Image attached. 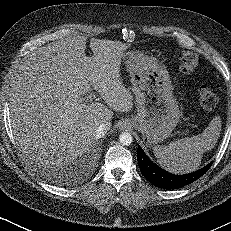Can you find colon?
<instances>
[{
	"label": "colon",
	"mask_w": 231,
	"mask_h": 231,
	"mask_svg": "<svg viewBox=\"0 0 231 231\" xmlns=\"http://www.w3.org/2000/svg\"><path fill=\"white\" fill-rule=\"evenodd\" d=\"M200 64V57L194 52H181L178 55V65L182 73L194 71ZM200 105L206 110L215 108L218 97L215 91L208 86H200L197 92Z\"/></svg>",
	"instance_id": "obj_1"
}]
</instances>
